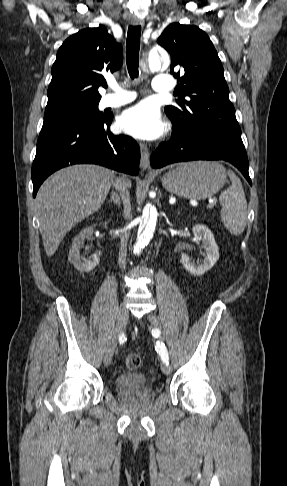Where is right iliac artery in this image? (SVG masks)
<instances>
[{
    "instance_id": "obj_1",
    "label": "right iliac artery",
    "mask_w": 287,
    "mask_h": 486,
    "mask_svg": "<svg viewBox=\"0 0 287 486\" xmlns=\"http://www.w3.org/2000/svg\"><path fill=\"white\" fill-rule=\"evenodd\" d=\"M123 338H124V336H123V335L119 337V339H123Z\"/></svg>"
}]
</instances>
